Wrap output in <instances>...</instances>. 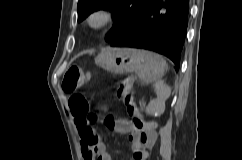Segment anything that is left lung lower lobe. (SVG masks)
I'll use <instances>...</instances> for the list:
<instances>
[{
    "label": "left lung lower lobe",
    "instance_id": "0a47b994",
    "mask_svg": "<svg viewBox=\"0 0 242 160\" xmlns=\"http://www.w3.org/2000/svg\"><path fill=\"white\" fill-rule=\"evenodd\" d=\"M189 0H148L132 28L113 47L152 50L180 66V54L188 25Z\"/></svg>",
    "mask_w": 242,
    "mask_h": 160
}]
</instances>
